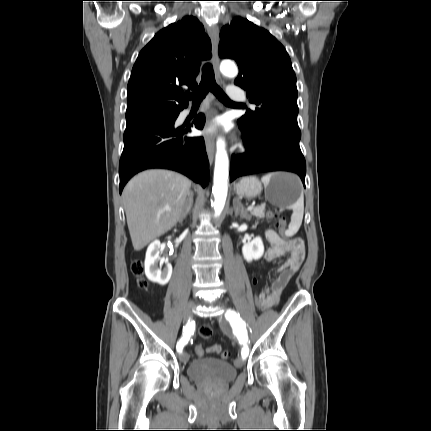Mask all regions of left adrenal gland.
Here are the masks:
<instances>
[{"label":"left adrenal gland","mask_w":431,"mask_h":431,"mask_svg":"<svg viewBox=\"0 0 431 431\" xmlns=\"http://www.w3.org/2000/svg\"><path fill=\"white\" fill-rule=\"evenodd\" d=\"M232 210H234L235 217L240 215V218L250 220L248 213L246 212L244 206L241 204L239 199L233 201Z\"/></svg>","instance_id":"obj_1"}]
</instances>
